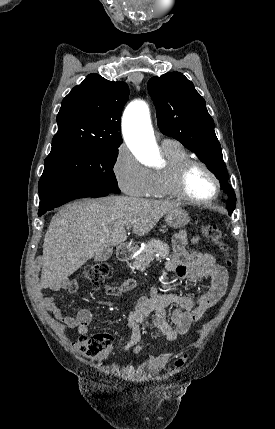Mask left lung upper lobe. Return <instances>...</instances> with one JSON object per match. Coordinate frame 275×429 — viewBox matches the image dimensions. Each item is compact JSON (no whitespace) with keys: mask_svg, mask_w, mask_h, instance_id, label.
I'll return each instance as SVG.
<instances>
[{"mask_svg":"<svg viewBox=\"0 0 275 429\" xmlns=\"http://www.w3.org/2000/svg\"><path fill=\"white\" fill-rule=\"evenodd\" d=\"M148 91L156 105L160 131L180 141L215 174L222 190L229 196L227 208L231 215L236 207V197L228 184L229 176L214 131V121L203 97L179 72L154 76L148 82Z\"/></svg>","mask_w":275,"mask_h":429,"instance_id":"1","label":"left lung upper lobe"}]
</instances>
